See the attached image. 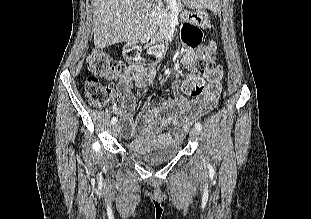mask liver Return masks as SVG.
<instances>
[{
    "label": "liver",
    "mask_w": 311,
    "mask_h": 219,
    "mask_svg": "<svg viewBox=\"0 0 311 219\" xmlns=\"http://www.w3.org/2000/svg\"><path fill=\"white\" fill-rule=\"evenodd\" d=\"M211 0H194L203 8ZM94 7V44L104 48L138 40L147 24L153 0H91Z\"/></svg>",
    "instance_id": "1"
}]
</instances>
